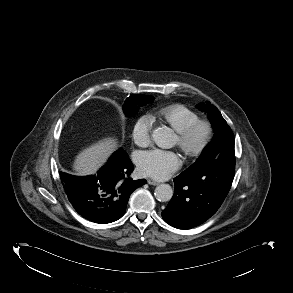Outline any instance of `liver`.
Returning a JSON list of instances; mask_svg holds the SVG:
<instances>
[{"instance_id":"liver-1","label":"liver","mask_w":293,"mask_h":293,"mask_svg":"<svg viewBox=\"0 0 293 293\" xmlns=\"http://www.w3.org/2000/svg\"><path fill=\"white\" fill-rule=\"evenodd\" d=\"M117 143L116 138L107 137L82 150L73 164L75 174L83 176L96 173L116 150Z\"/></svg>"}]
</instances>
